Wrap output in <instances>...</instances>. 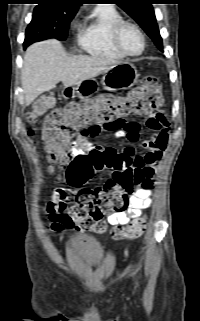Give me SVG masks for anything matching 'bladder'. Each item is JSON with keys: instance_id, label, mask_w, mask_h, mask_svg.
<instances>
[{"instance_id": "bladder-1", "label": "bladder", "mask_w": 200, "mask_h": 321, "mask_svg": "<svg viewBox=\"0 0 200 321\" xmlns=\"http://www.w3.org/2000/svg\"><path fill=\"white\" fill-rule=\"evenodd\" d=\"M71 253L82 262L95 265L106 253L104 244L98 239L82 233H73L68 238Z\"/></svg>"}]
</instances>
